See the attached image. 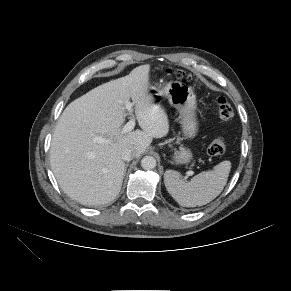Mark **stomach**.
I'll list each match as a JSON object with an SVG mask.
<instances>
[{
    "label": "stomach",
    "instance_id": "1",
    "mask_svg": "<svg viewBox=\"0 0 291 291\" xmlns=\"http://www.w3.org/2000/svg\"><path fill=\"white\" fill-rule=\"evenodd\" d=\"M149 94L152 102L160 106L164 100L175 107L180 114V123L185 138H194L198 132V122L195 116L196 96L193 89L179 81L169 82L165 87L151 86ZM192 159V153L184 147L175 151L172 157L173 164H187Z\"/></svg>",
    "mask_w": 291,
    "mask_h": 291
}]
</instances>
